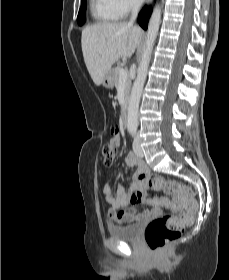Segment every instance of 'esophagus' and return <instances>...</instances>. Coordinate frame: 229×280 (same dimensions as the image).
Masks as SVG:
<instances>
[{"instance_id": "1", "label": "esophagus", "mask_w": 229, "mask_h": 280, "mask_svg": "<svg viewBox=\"0 0 229 280\" xmlns=\"http://www.w3.org/2000/svg\"><path fill=\"white\" fill-rule=\"evenodd\" d=\"M153 0H148L147 3L150 4Z\"/></svg>"}]
</instances>
